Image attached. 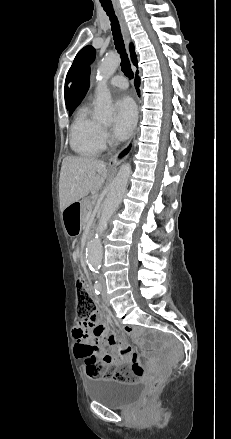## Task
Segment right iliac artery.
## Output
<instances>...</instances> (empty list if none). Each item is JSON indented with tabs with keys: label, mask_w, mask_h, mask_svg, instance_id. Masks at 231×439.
I'll list each match as a JSON object with an SVG mask.
<instances>
[{
	"label": "right iliac artery",
	"mask_w": 231,
	"mask_h": 439,
	"mask_svg": "<svg viewBox=\"0 0 231 439\" xmlns=\"http://www.w3.org/2000/svg\"><path fill=\"white\" fill-rule=\"evenodd\" d=\"M94 289H95V293L96 294H100V292L102 290V287H101V284L98 281L95 282Z\"/></svg>",
	"instance_id": "obj_1"
}]
</instances>
